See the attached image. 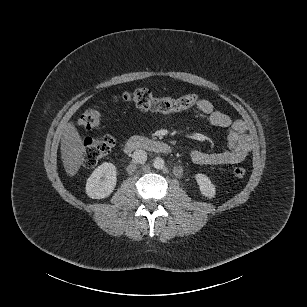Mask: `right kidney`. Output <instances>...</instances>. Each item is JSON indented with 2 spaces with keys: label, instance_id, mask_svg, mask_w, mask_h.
Listing matches in <instances>:
<instances>
[{
  "label": "right kidney",
  "instance_id": "ca27d5eb",
  "mask_svg": "<svg viewBox=\"0 0 307 307\" xmlns=\"http://www.w3.org/2000/svg\"><path fill=\"white\" fill-rule=\"evenodd\" d=\"M104 175L103 180L101 176ZM117 185L115 165L103 163L89 176L85 186L87 196L93 200H102L112 195Z\"/></svg>",
  "mask_w": 307,
  "mask_h": 307
}]
</instances>
